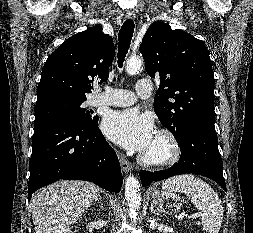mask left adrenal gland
Masks as SVG:
<instances>
[{
  "instance_id": "left-adrenal-gland-1",
  "label": "left adrenal gland",
  "mask_w": 253,
  "mask_h": 233,
  "mask_svg": "<svg viewBox=\"0 0 253 233\" xmlns=\"http://www.w3.org/2000/svg\"><path fill=\"white\" fill-rule=\"evenodd\" d=\"M150 212L154 215L160 216V214L155 210L153 203L150 206Z\"/></svg>"
}]
</instances>
